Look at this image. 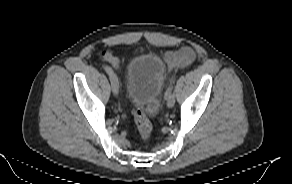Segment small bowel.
I'll use <instances>...</instances> for the list:
<instances>
[{
    "instance_id": "small-bowel-1",
    "label": "small bowel",
    "mask_w": 292,
    "mask_h": 184,
    "mask_svg": "<svg viewBox=\"0 0 292 184\" xmlns=\"http://www.w3.org/2000/svg\"><path fill=\"white\" fill-rule=\"evenodd\" d=\"M164 59L167 63L168 70L172 71L179 68H185L193 63L195 59L194 50L189 46H184L174 51L167 52L164 56ZM110 63L118 68L119 60L117 58H113Z\"/></svg>"
}]
</instances>
